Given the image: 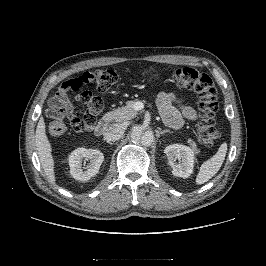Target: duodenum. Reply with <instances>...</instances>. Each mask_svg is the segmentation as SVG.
I'll return each mask as SVG.
<instances>
[{
  "mask_svg": "<svg viewBox=\"0 0 266 266\" xmlns=\"http://www.w3.org/2000/svg\"><path fill=\"white\" fill-rule=\"evenodd\" d=\"M107 128L108 120H101L94 126V134L96 136H102L106 132Z\"/></svg>",
  "mask_w": 266,
  "mask_h": 266,
  "instance_id": "obj_1",
  "label": "duodenum"
}]
</instances>
